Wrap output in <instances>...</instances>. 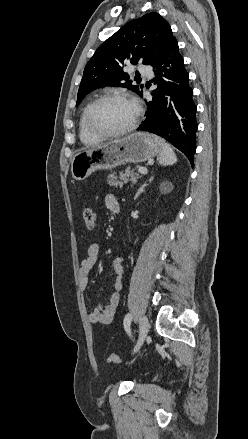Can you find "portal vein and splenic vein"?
<instances>
[{"mask_svg":"<svg viewBox=\"0 0 248 439\" xmlns=\"http://www.w3.org/2000/svg\"><path fill=\"white\" fill-rule=\"evenodd\" d=\"M138 172L141 173V174H144V175H145V174H147L148 171H147L146 168H144V167H140V168L138 169Z\"/></svg>","mask_w":248,"mask_h":439,"instance_id":"obj_1","label":"portal vein and splenic vein"}]
</instances>
